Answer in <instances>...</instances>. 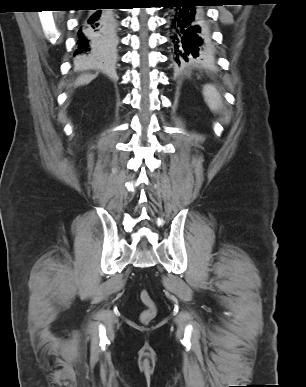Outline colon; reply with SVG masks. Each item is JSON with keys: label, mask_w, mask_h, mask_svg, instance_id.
I'll list each match as a JSON object with an SVG mask.
<instances>
[{"label": "colon", "mask_w": 306, "mask_h": 387, "mask_svg": "<svg viewBox=\"0 0 306 387\" xmlns=\"http://www.w3.org/2000/svg\"><path fill=\"white\" fill-rule=\"evenodd\" d=\"M140 299L145 306V309L140 314V320L142 323L148 324L156 316V305L149 292L145 289L140 292Z\"/></svg>", "instance_id": "5ec220e1"}]
</instances>
